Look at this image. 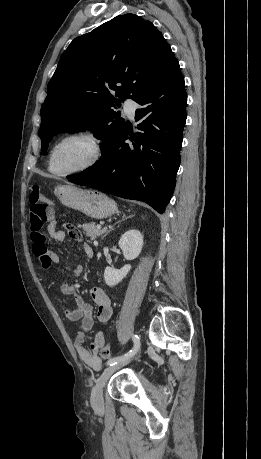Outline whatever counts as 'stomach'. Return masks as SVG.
Instances as JSON below:
<instances>
[{
    "label": "stomach",
    "mask_w": 261,
    "mask_h": 459,
    "mask_svg": "<svg viewBox=\"0 0 261 459\" xmlns=\"http://www.w3.org/2000/svg\"><path fill=\"white\" fill-rule=\"evenodd\" d=\"M54 193L64 206L80 211L91 218L104 219L117 212L116 202L96 190L82 189L74 185H60L55 188Z\"/></svg>",
    "instance_id": "obj_1"
}]
</instances>
